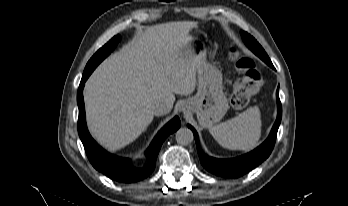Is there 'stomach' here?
Masks as SVG:
<instances>
[{"mask_svg":"<svg viewBox=\"0 0 348 206\" xmlns=\"http://www.w3.org/2000/svg\"><path fill=\"white\" fill-rule=\"evenodd\" d=\"M191 49L199 58L198 92L191 100V110L197 114L203 126L209 127L218 122L228 109V102L222 91V74L206 61V49L200 40L194 39Z\"/></svg>","mask_w":348,"mask_h":206,"instance_id":"0dacf381","label":"stomach"}]
</instances>
